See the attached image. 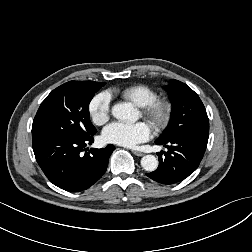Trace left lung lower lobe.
Instances as JSON below:
<instances>
[{"mask_svg": "<svg viewBox=\"0 0 252 252\" xmlns=\"http://www.w3.org/2000/svg\"><path fill=\"white\" fill-rule=\"evenodd\" d=\"M209 134L198 132L182 134L168 141L155 143L168 149L165 157L159 156V166L146 175L162 184H174L192 174L199 166L205 153Z\"/></svg>", "mask_w": 252, "mask_h": 252, "instance_id": "left-lung-lower-lobe-1", "label": "left lung lower lobe"}]
</instances>
